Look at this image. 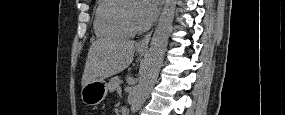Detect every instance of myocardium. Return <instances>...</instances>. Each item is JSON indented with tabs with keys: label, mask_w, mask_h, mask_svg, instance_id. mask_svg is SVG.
<instances>
[{
	"label": "myocardium",
	"mask_w": 285,
	"mask_h": 115,
	"mask_svg": "<svg viewBox=\"0 0 285 115\" xmlns=\"http://www.w3.org/2000/svg\"><path fill=\"white\" fill-rule=\"evenodd\" d=\"M133 1H125L123 5L121 6L120 10V20L122 24L125 26V28L130 31L132 34L141 32L145 29L144 26H136L132 23L131 19L127 15V9L129 7V4Z\"/></svg>",
	"instance_id": "f54148a6"
}]
</instances>
